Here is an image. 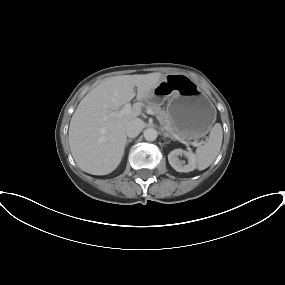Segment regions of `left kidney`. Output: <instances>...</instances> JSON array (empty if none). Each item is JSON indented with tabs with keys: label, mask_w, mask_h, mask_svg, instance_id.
<instances>
[{
	"label": "left kidney",
	"mask_w": 285,
	"mask_h": 285,
	"mask_svg": "<svg viewBox=\"0 0 285 285\" xmlns=\"http://www.w3.org/2000/svg\"><path fill=\"white\" fill-rule=\"evenodd\" d=\"M178 156H185L188 159V164L180 161ZM169 164L178 172H190L196 168V158L191 151H184L182 149H175L168 155Z\"/></svg>",
	"instance_id": "left-kidney-1"
}]
</instances>
